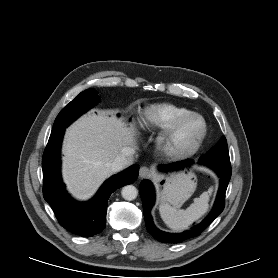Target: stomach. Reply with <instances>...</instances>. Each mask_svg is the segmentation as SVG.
Here are the masks:
<instances>
[{
  "mask_svg": "<svg viewBox=\"0 0 278 278\" xmlns=\"http://www.w3.org/2000/svg\"><path fill=\"white\" fill-rule=\"evenodd\" d=\"M195 175L193 173H179L166 180L160 193L162 203L180 206L196 189Z\"/></svg>",
  "mask_w": 278,
  "mask_h": 278,
  "instance_id": "0dacf381",
  "label": "stomach"
}]
</instances>
